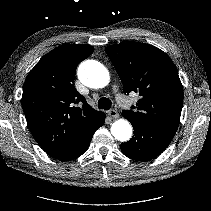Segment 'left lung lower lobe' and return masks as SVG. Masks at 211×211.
<instances>
[{
  "label": "left lung lower lobe",
  "instance_id": "left-lung-lower-lobe-1",
  "mask_svg": "<svg viewBox=\"0 0 211 211\" xmlns=\"http://www.w3.org/2000/svg\"><path fill=\"white\" fill-rule=\"evenodd\" d=\"M125 117V116H123ZM134 136L121 144L122 153L136 161H149L159 156L170 144L177 127L141 124L131 119Z\"/></svg>",
  "mask_w": 211,
  "mask_h": 211
}]
</instances>
